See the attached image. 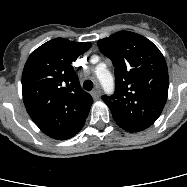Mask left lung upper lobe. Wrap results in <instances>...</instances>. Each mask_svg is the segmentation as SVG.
<instances>
[{"mask_svg": "<svg viewBox=\"0 0 187 187\" xmlns=\"http://www.w3.org/2000/svg\"><path fill=\"white\" fill-rule=\"evenodd\" d=\"M97 43L115 67V92L102 96L114 120L130 133L148 128L160 116L168 95V69L162 53L150 40L130 31Z\"/></svg>", "mask_w": 187, "mask_h": 187, "instance_id": "1", "label": "left lung upper lobe"}]
</instances>
